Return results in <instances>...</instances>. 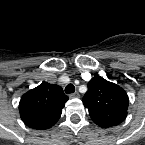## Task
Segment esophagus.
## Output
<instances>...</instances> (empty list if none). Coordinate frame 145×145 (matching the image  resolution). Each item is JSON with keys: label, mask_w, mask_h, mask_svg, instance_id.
I'll return each mask as SVG.
<instances>
[{"label": "esophagus", "mask_w": 145, "mask_h": 145, "mask_svg": "<svg viewBox=\"0 0 145 145\" xmlns=\"http://www.w3.org/2000/svg\"><path fill=\"white\" fill-rule=\"evenodd\" d=\"M69 97L72 98V99H76V98L80 97V94L78 92H75V93L70 94Z\"/></svg>", "instance_id": "34e87169"}]
</instances>
